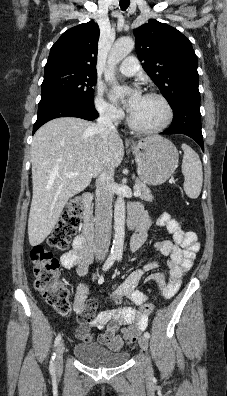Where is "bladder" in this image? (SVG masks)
Here are the masks:
<instances>
[{"label": "bladder", "mask_w": 227, "mask_h": 396, "mask_svg": "<svg viewBox=\"0 0 227 396\" xmlns=\"http://www.w3.org/2000/svg\"><path fill=\"white\" fill-rule=\"evenodd\" d=\"M73 353L80 362L92 368H115L130 357L127 351H114L95 343H79Z\"/></svg>", "instance_id": "1"}]
</instances>
